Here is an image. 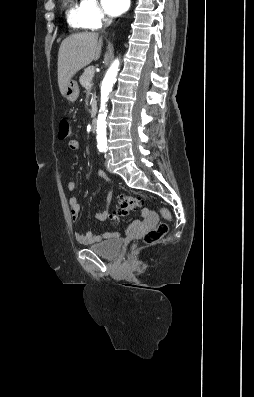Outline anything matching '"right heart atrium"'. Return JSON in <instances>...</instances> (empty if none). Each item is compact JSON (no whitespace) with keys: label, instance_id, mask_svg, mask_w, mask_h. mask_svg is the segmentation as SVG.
<instances>
[{"label":"right heart atrium","instance_id":"obj_1","mask_svg":"<svg viewBox=\"0 0 254 397\" xmlns=\"http://www.w3.org/2000/svg\"><path fill=\"white\" fill-rule=\"evenodd\" d=\"M80 12L87 28H100L107 21V17L97 0H81Z\"/></svg>","mask_w":254,"mask_h":397}]
</instances>
